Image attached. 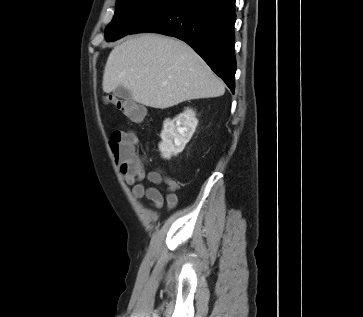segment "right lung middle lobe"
<instances>
[{"mask_svg": "<svg viewBox=\"0 0 363 317\" xmlns=\"http://www.w3.org/2000/svg\"><path fill=\"white\" fill-rule=\"evenodd\" d=\"M177 0H117L113 20L105 29L107 41L117 40L130 33L144 21Z\"/></svg>", "mask_w": 363, "mask_h": 317, "instance_id": "obj_1", "label": "right lung middle lobe"}]
</instances>
